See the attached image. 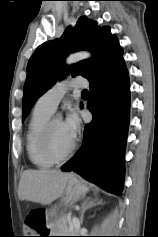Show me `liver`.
I'll use <instances>...</instances> for the list:
<instances>
[{
    "label": "liver",
    "mask_w": 158,
    "mask_h": 237,
    "mask_svg": "<svg viewBox=\"0 0 158 237\" xmlns=\"http://www.w3.org/2000/svg\"><path fill=\"white\" fill-rule=\"evenodd\" d=\"M72 177L73 174L58 170H25L21 174L18 196L22 200L48 205L62 196Z\"/></svg>",
    "instance_id": "obj_1"
}]
</instances>
